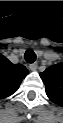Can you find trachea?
<instances>
[{
    "label": "trachea",
    "mask_w": 63,
    "mask_h": 123,
    "mask_svg": "<svg viewBox=\"0 0 63 123\" xmlns=\"http://www.w3.org/2000/svg\"><path fill=\"white\" fill-rule=\"evenodd\" d=\"M24 58H25V61H26L27 63L32 64V63H34L35 60H36V54H35V52H34L33 50L28 49V50L25 52V54H24Z\"/></svg>",
    "instance_id": "1"
}]
</instances>
